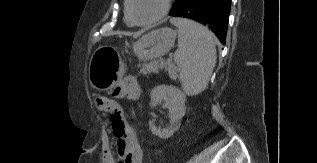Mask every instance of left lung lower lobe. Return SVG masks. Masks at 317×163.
<instances>
[{"mask_svg":"<svg viewBox=\"0 0 317 163\" xmlns=\"http://www.w3.org/2000/svg\"><path fill=\"white\" fill-rule=\"evenodd\" d=\"M230 6L231 0H180L170 15L205 25L225 44Z\"/></svg>","mask_w":317,"mask_h":163,"instance_id":"0a47b994","label":"left lung lower lobe"}]
</instances>
